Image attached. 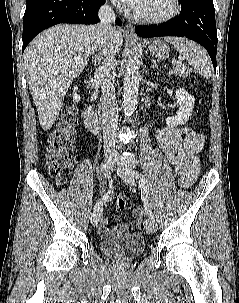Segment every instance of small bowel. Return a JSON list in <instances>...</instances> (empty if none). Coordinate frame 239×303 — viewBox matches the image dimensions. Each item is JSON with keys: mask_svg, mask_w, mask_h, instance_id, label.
I'll use <instances>...</instances> for the list:
<instances>
[{"mask_svg": "<svg viewBox=\"0 0 239 303\" xmlns=\"http://www.w3.org/2000/svg\"><path fill=\"white\" fill-rule=\"evenodd\" d=\"M156 140L169 162L175 167L179 175V186L182 188L191 186L199 174V154L205 144L204 137L189 127H166L156 132ZM135 216L140 219L141 212L136 211ZM100 220L99 234L103 237L137 230L134 228L136 221L111 229L108 218L101 217Z\"/></svg>", "mask_w": 239, "mask_h": 303, "instance_id": "c3829d8e", "label": "small bowel"}]
</instances>
